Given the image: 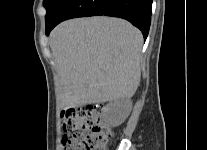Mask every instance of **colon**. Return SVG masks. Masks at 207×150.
<instances>
[{"label":"colon","instance_id":"5ec220e1","mask_svg":"<svg viewBox=\"0 0 207 150\" xmlns=\"http://www.w3.org/2000/svg\"><path fill=\"white\" fill-rule=\"evenodd\" d=\"M61 119L63 129L73 133L64 137L63 150H107L113 132L102 123L100 109L66 110Z\"/></svg>","mask_w":207,"mask_h":150}]
</instances>
